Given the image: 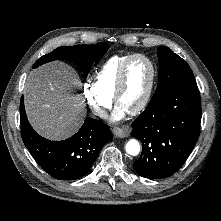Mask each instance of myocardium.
Masks as SVG:
<instances>
[{
  "label": "myocardium",
  "mask_w": 221,
  "mask_h": 221,
  "mask_svg": "<svg viewBox=\"0 0 221 221\" xmlns=\"http://www.w3.org/2000/svg\"><path fill=\"white\" fill-rule=\"evenodd\" d=\"M137 58H142L145 61H147V63L149 64L151 68V77H150V82H149L148 88L146 90V93L143 99L132 111L128 112L130 115H138L147 107L152 97V93L154 90L156 77H157V69L151 58H149L147 55L142 54V53L132 54L123 64L120 70L119 76H118L117 85H116L114 95H113V101L116 105H118V100L125 88L129 66L132 63V61Z\"/></svg>",
  "instance_id": "1"
}]
</instances>
